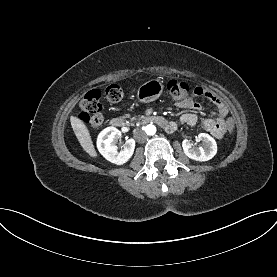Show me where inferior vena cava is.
Instances as JSON below:
<instances>
[{
    "mask_svg": "<svg viewBox=\"0 0 277 277\" xmlns=\"http://www.w3.org/2000/svg\"><path fill=\"white\" fill-rule=\"evenodd\" d=\"M134 136L137 139V141L140 143H143L147 140V134L141 129L135 130Z\"/></svg>",
    "mask_w": 277,
    "mask_h": 277,
    "instance_id": "obj_1",
    "label": "inferior vena cava"
}]
</instances>
